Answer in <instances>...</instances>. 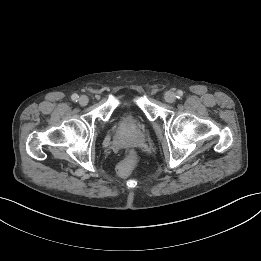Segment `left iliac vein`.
Instances as JSON below:
<instances>
[{"label": "left iliac vein", "mask_w": 261, "mask_h": 261, "mask_svg": "<svg viewBox=\"0 0 261 261\" xmlns=\"http://www.w3.org/2000/svg\"><path fill=\"white\" fill-rule=\"evenodd\" d=\"M164 98L168 103H174L176 101V95L172 91L166 92Z\"/></svg>", "instance_id": "4c4485c4"}]
</instances>
